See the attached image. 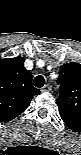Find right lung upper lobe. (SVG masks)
Listing matches in <instances>:
<instances>
[{
  "instance_id": "right-lung-upper-lobe-1",
  "label": "right lung upper lobe",
  "mask_w": 81,
  "mask_h": 155,
  "mask_svg": "<svg viewBox=\"0 0 81 155\" xmlns=\"http://www.w3.org/2000/svg\"><path fill=\"white\" fill-rule=\"evenodd\" d=\"M40 91L32 85V74L24 67V57L0 60V120L20 115Z\"/></svg>"
}]
</instances>
